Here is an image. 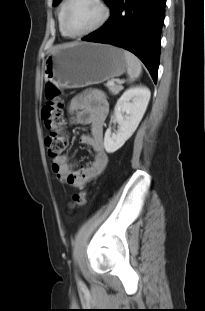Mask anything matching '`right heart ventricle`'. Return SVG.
Segmentation results:
<instances>
[{"mask_svg": "<svg viewBox=\"0 0 205 311\" xmlns=\"http://www.w3.org/2000/svg\"><path fill=\"white\" fill-rule=\"evenodd\" d=\"M65 2H66V0H63L59 6L58 14H57V20H58L59 30H60L62 36L67 37V34L65 33L63 26H62L63 9H64Z\"/></svg>", "mask_w": 205, "mask_h": 311, "instance_id": "right-heart-ventricle-1", "label": "right heart ventricle"}]
</instances>
